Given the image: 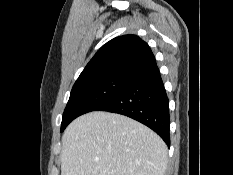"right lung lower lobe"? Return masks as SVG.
<instances>
[{"label":"right lung lower lobe","mask_w":233,"mask_h":175,"mask_svg":"<svg viewBox=\"0 0 233 175\" xmlns=\"http://www.w3.org/2000/svg\"><path fill=\"white\" fill-rule=\"evenodd\" d=\"M95 111H108L135 119L154 130L170 146L168 98L157 65L134 77Z\"/></svg>","instance_id":"right-lung-lower-lobe-1"}]
</instances>
